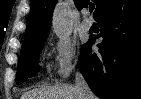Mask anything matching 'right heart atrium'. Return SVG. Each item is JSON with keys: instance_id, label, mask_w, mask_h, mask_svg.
Returning a JSON list of instances; mask_svg holds the SVG:
<instances>
[{"instance_id": "d8ad5b80", "label": "right heart atrium", "mask_w": 141, "mask_h": 99, "mask_svg": "<svg viewBox=\"0 0 141 99\" xmlns=\"http://www.w3.org/2000/svg\"><path fill=\"white\" fill-rule=\"evenodd\" d=\"M56 71L61 78L69 77L78 69L79 57L75 44L60 40L55 44Z\"/></svg>"}]
</instances>
